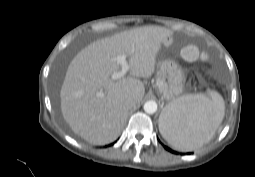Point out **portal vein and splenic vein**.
Listing matches in <instances>:
<instances>
[{
    "label": "portal vein and splenic vein",
    "instance_id": "1",
    "mask_svg": "<svg viewBox=\"0 0 255 177\" xmlns=\"http://www.w3.org/2000/svg\"><path fill=\"white\" fill-rule=\"evenodd\" d=\"M115 60L121 66V70H119L117 72H114L111 75V78L113 80H118L120 78H123L127 74V72L130 70V66H129L127 60H126V56L125 55H118L115 58ZM97 96H99V97L103 96V92H98Z\"/></svg>",
    "mask_w": 255,
    "mask_h": 177
}]
</instances>
